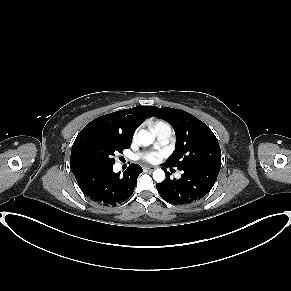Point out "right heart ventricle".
I'll use <instances>...</instances> for the list:
<instances>
[{"mask_svg":"<svg viewBox=\"0 0 291 291\" xmlns=\"http://www.w3.org/2000/svg\"><path fill=\"white\" fill-rule=\"evenodd\" d=\"M167 123L161 120H157L153 122V128L156 130L159 126L166 125Z\"/></svg>","mask_w":291,"mask_h":291,"instance_id":"obj_1","label":"right heart ventricle"}]
</instances>
